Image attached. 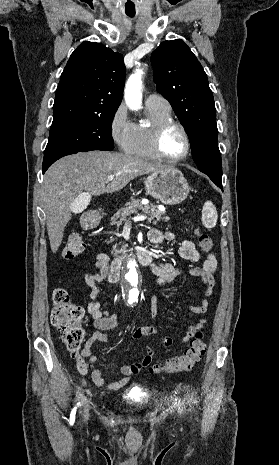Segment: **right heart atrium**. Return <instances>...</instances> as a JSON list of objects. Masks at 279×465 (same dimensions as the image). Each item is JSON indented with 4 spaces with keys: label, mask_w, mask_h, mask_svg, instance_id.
I'll return each mask as SVG.
<instances>
[{
    "label": "right heart atrium",
    "mask_w": 279,
    "mask_h": 465,
    "mask_svg": "<svg viewBox=\"0 0 279 465\" xmlns=\"http://www.w3.org/2000/svg\"><path fill=\"white\" fill-rule=\"evenodd\" d=\"M134 124L129 119L124 104L118 105L109 121V134L114 144L122 151H126L131 143Z\"/></svg>",
    "instance_id": "1"
}]
</instances>
